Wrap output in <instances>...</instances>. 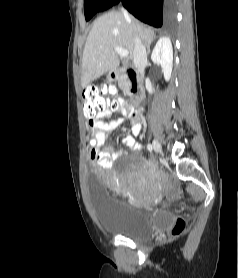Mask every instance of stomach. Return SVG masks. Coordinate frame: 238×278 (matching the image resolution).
<instances>
[{
    "mask_svg": "<svg viewBox=\"0 0 238 278\" xmlns=\"http://www.w3.org/2000/svg\"><path fill=\"white\" fill-rule=\"evenodd\" d=\"M107 78H108V81H109V82H112V81H113V79L110 77V75H108Z\"/></svg>",
    "mask_w": 238,
    "mask_h": 278,
    "instance_id": "stomach-1",
    "label": "stomach"
}]
</instances>
